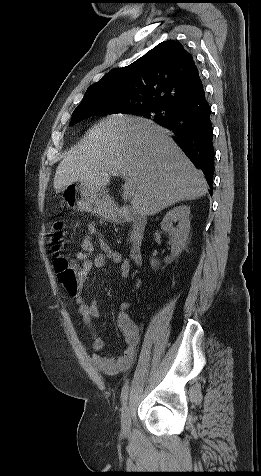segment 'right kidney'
Listing matches in <instances>:
<instances>
[{
  "label": "right kidney",
  "mask_w": 261,
  "mask_h": 476,
  "mask_svg": "<svg viewBox=\"0 0 261 476\" xmlns=\"http://www.w3.org/2000/svg\"><path fill=\"white\" fill-rule=\"evenodd\" d=\"M189 215L190 207L180 205L168 211L161 222V229L169 233L171 244V255L165 258L166 263L172 262L185 249L190 232ZM172 222H178L177 228L172 226ZM157 265H159V261L151 259V266L154 269Z\"/></svg>",
  "instance_id": "right-kidney-1"
}]
</instances>
